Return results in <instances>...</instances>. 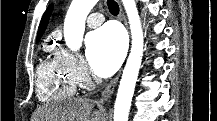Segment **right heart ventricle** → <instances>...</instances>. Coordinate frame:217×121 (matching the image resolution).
Masks as SVG:
<instances>
[{
    "instance_id": "obj_1",
    "label": "right heart ventricle",
    "mask_w": 217,
    "mask_h": 121,
    "mask_svg": "<svg viewBox=\"0 0 217 121\" xmlns=\"http://www.w3.org/2000/svg\"><path fill=\"white\" fill-rule=\"evenodd\" d=\"M77 81L58 56L46 59L37 69L36 91L42 102H57L73 96Z\"/></svg>"
}]
</instances>
